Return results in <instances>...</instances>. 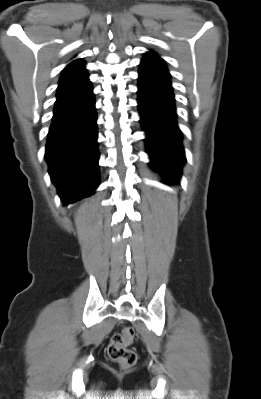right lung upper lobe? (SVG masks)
Returning a JSON list of instances; mask_svg holds the SVG:
<instances>
[{
    "label": "right lung upper lobe",
    "mask_w": 261,
    "mask_h": 399,
    "mask_svg": "<svg viewBox=\"0 0 261 399\" xmlns=\"http://www.w3.org/2000/svg\"><path fill=\"white\" fill-rule=\"evenodd\" d=\"M86 74L85 62L82 59L74 60L64 68L59 85L74 81Z\"/></svg>",
    "instance_id": "cb5924a9"
}]
</instances>
